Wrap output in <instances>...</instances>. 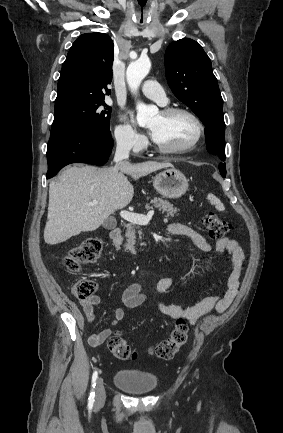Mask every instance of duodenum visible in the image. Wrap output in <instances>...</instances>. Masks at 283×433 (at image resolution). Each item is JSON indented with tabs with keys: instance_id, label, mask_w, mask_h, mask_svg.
<instances>
[{
	"instance_id": "duodenum-1",
	"label": "duodenum",
	"mask_w": 283,
	"mask_h": 433,
	"mask_svg": "<svg viewBox=\"0 0 283 433\" xmlns=\"http://www.w3.org/2000/svg\"><path fill=\"white\" fill-rule=\"evenodd\" d=\"M110 239L115 245H119L122 241V231L120 228H114L110 231Z\"/></svg>"
}]
</instances>
